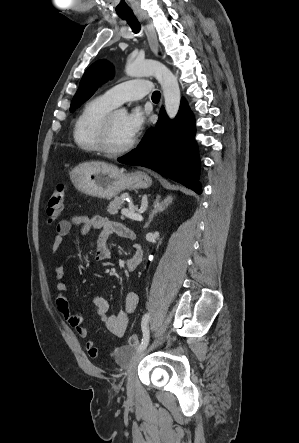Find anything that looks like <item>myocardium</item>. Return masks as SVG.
Here are the masks:
<instances>
[{
	"instance_id": "obj_1",
	"label": "myocardium",
	"mask_w": 299,
	"mask_h": 443,
	"mask_svg": "<svg viewBox=\"0 0 299 443\" xmlns=\"http://www.w3.org/2000/svg\"><path fill=\"white\" fill-rule=\"evenodd\" d=\"M115 111H110L104 118L100 133H99V147L101 152L105 153L108 156H120L127 152H129L136 144V139L133 140L121 148H114L111 145V134L113 128V119H114Z\"/></svg>"
}]
</instances>
